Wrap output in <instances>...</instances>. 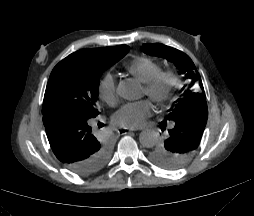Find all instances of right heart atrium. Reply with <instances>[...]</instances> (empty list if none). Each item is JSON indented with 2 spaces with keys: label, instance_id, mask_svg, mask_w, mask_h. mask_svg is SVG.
Returning a JSON list of instances; mask_svg holds the SVG:
<instances>
[{
  "label": "right heart atrium",
  "instance_id": "obj_1",
  "mask_svg": "<svg viewBox=\"0 0 254 216\" xmlns=\"http://www.w3.org/2000/svg\"><path fill=\"white\" fill-rule=\"evenodd\" d=\"M99 94L108 104L116 103V84L110 75H106L99 84Z\"/></svg>",
  "mask_w": 254,
  "mask_h": 216
}]
</instances>
